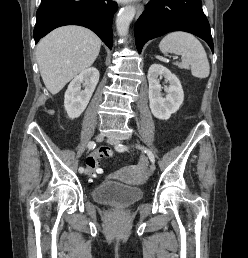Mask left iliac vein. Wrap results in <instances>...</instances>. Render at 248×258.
Returning a JSON list of instances; mask_svg holds the SVG:
<instances>
[{"instance_id":"1","label":"left iliac vein","mask_w":248,"mask_h":258,"mask_svg":"<svg viewBox=\"0 0 248 258\" xmlns=\"http://www.w3.org/2000/svg\"><path fill=\"white\" fill-rule=\"evenodd\" d=\"M107 142H108L109 144H111V145L116 146V145H119V144H120V138H118V137H113V136H109V137L107 138ZM150 170H151L152 172L155 170V165H154V164H151Z\"/></svg>"}]
</instances>
